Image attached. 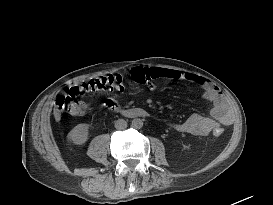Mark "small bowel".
I'll return each instance as SVG.
<instances>
[{
    "label": "small bowel",
    "mask_w": 273,
    "mask_h": 205,
    "mask_svg": "<svg viewBox=\"0 0 273 205\" xmlns=\"http://www.w3.org/2000/svg\"><path fill=\"white\" fill-rule=\"evenodd\" d=\"M150 79L147 82L150 86H154L158 79H185L199 85L204 90V96L212 104L211 116L194 114L188 120L172 124L171 127L182 133H188L195 136H206L222 125L232 123V114L224 95L220 90L208 79L192 73L181 74L176 70L149 67ZM135 111L134 108L130 109Z\"/></svg>",
    "instance_id": "obj_1"
}]
</instances>
